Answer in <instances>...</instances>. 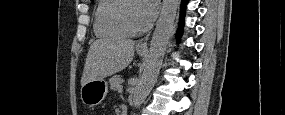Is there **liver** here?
<instances>
[{"mask_svg": "<svg viewBox=\"0 0 285 115\" xmlns=\"http://www.w3.org/2000/svg\"><path fill=\"white\" fill-rule=\"evenodd\" d=\"M135 41L125 38H103L90 46L81 85L120 72L133 60Z\"/></svg>", "mask_w": 285, "mask_h": 115, "instance_id": "6515ba94", "label": "liver"}]
</instances>
